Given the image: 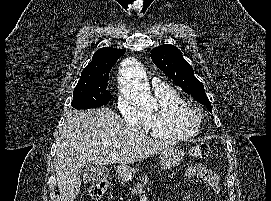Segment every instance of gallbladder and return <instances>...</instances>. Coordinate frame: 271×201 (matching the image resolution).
Listing matches in <instances>:
<instances>
[{
  "label": "gallbladder",
  "instance_id": "1",
  "mask_svg": "<svg viewBox=\"0 0 271 201\" xmlns=\"http://www.w3.org/2000/svg\"><path fill=\"white\" fill-rule=\"evenodd\" d=\"M78 175L84 183L95 184L108 178L109 169L104 165L86 163L79 168Z\"/></svg>",
  "mask_w": 271,
  "mask_h": 201
}]
</instances>
